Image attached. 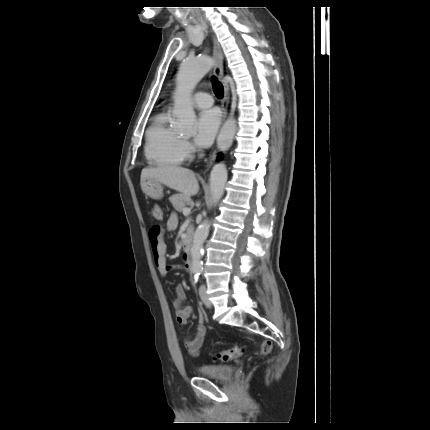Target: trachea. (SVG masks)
I'll return each mask as SVG.
<instances>
[{
    "instance_id": "obj_1",
    "label": "trachea",
    "mask_w": 430,
    "mask_h": 430,
    "mask_svg": "<svg viewBox=\"0 0 430 430\" xmlns=\"http://www.w3.org/2000/svg\"><path fill=\"white\" fill-rule=\"evenodd\" d=\"M212 84H213V89H214V93L218 98H222L223 97V86L222 84L218 81V79L216 77L212 78Z\"/></svg>"
}]
</instances>
